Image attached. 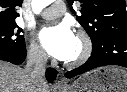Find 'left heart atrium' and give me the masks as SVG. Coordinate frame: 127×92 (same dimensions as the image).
Masks as SVG:
<instances>
[{
    "label": "left heart atrium",
    "mask_w": 127,
    "mask_h": 92,
    "mask_svg": "<svg viewBox=\"0 0 127 92\" xmlns=\"http://www.w3.org/2000/svg\"><path fill=\"white\" fill-rule=\"evenodd\" d=\"M39 39L46 52L59 60H67L73 53L76 37L67 24L45 27Z\"/></svg>",
    "instance_id": "left-heart-atrium-1"
}]
</instances>
